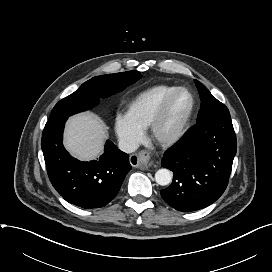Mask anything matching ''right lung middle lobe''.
<instances>
[{"label": "right lung middle lobe", "instance_id": "dd1d6c3e", "mask_svg": "<svg viewBox=\"0 0 272 272\" xmlns=\"http://www.w3.org/2000/svg\"><path fill=\"white\" fill-rule=\"evenodd\" d=\"M142 77L138 71L101 75L83 83L71 95L60 100L53 108L49 120L69 117L91 109L100 98L123 91Z\"/></svg>", "mask_w": 272, "mask_h": 272}]
</instances>
